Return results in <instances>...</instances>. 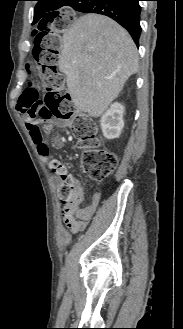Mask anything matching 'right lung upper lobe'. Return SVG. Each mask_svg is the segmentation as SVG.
I'll return each instance as SVG.
<instances>
[{
  "mask_svg": "<svg viewBox=\"0 0 183 329\" xmlns=\"http://www.w3.org/2000/svg\"><path fill=\"white\" fill-rule=\"evenodd\" d=\"M37 5L35 7L34 13L39 12L38 16L34 14V23L44 21L52 11L59 9L64 6H70L71 0H36ZM71 7V6H70Z\"/></svg>",
  "mask_w": 183,
  "mask_h": 329,
  "instance_id": "1",
  "label": "right lung upper lobe"
}]
</instances>
